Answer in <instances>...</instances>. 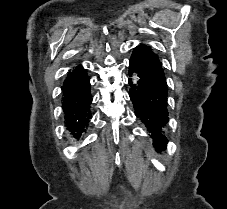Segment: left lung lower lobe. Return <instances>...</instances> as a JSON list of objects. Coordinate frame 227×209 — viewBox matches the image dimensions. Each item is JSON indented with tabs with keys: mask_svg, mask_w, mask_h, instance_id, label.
<instances>
[{
	"mask_svg": "<svg viewBox=\"0 0 227 209\" xmlns=\"http://www.w3.org/2000/svg\"><path fill=\"white\" fill-rule=\"evenodd\" d=\"M129 75L133 72L140 77L138 86L129 79L131 86L129 96L134 104L135 112L148 128L153 138L154 147L160 152L168 142L163 129L168 122L167 84L162 63L148 53L136 47L129 62ZM137 88V90H135Z\"/></svg>",
	"mask_w": 227,
	"mask_h": 209,
	"instance_id": "1",
	"label": "left lung lower lobe"
}]
</instances>
